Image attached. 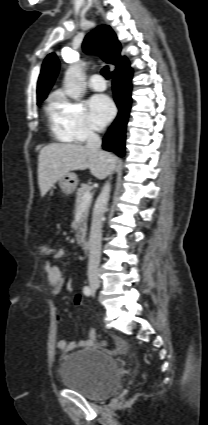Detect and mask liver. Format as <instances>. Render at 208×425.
<instances>
[{"label":"liver","instance_id":"6515ba94","mask_svg":"<svg viewBox=\"0 0 208 425\" xmlns=\"http://www.w3.org/2000/svg\"><path fill=\"white\" fill-rule=\"evenodd\" d=\"M116 156L107 153L102 158L86 146L69 143H51L43 147L38 156V184L41 196L70 171L90 169L98 179H104L115 167Z\"/></svg>","mask_w":208,"mask_h":425}]
</instances>
